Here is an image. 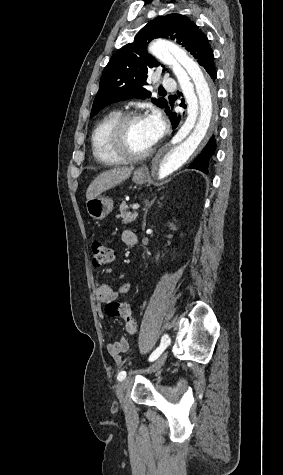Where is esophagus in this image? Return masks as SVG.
<instances>
[{"mask_svg": "<svg viewBox=\"0 0 283 475\" xmlns=\"http://www.w3.org/2000/svg\"><path fill=\"white\" fill-rule=\"evenodd\" d=\"M159 158H160L159 156H155L154 159H153V163L157 162L159 160Z\"/></svg>", "mask_w": 283, "mask_h": 475, "instance_id": "obj_1", "label": "esophagus"}]
</instances>
